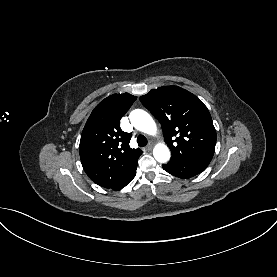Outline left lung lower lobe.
Returning a JSON list of instances; mask_svg holds the SVG:
<instances>
[{
  "mask_svg": "<svg viewBox=\"0 0 277 277\" xmlns=\"http://www.w3.org/2000/svg\"><path fill=\"white\" fill-rule=\"evenodd\" d=\"M209 163L210 161L198 159L173 158L166 165H162V167L168 173L185 179L201 173Z\"/></svg>",
  "mask_w": 277,
  "mask_h": 277,
  "instance_id": "0a47b994",
  "label": "left lung lower lobe"
}]
</instances>
